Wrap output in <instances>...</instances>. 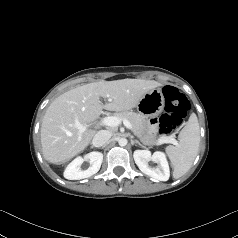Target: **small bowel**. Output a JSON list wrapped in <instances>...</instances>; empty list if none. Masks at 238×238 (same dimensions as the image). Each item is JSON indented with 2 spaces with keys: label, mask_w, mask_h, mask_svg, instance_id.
Wrapping results in <instances>:
<instances>
[{
  "label": "small bowel",
  "mask_w": 238,
  "mask_h": 238,
  "mask_svg": "<svg viewBox=\"0 0 238 238\" xmlns=\"http://www.w3.org/2000/svg\"><path fill=\"white\" fill-rule=\"evenodd\" d=\"M160 120H161L160 115L157 114V113H154V114H152V115L149 117V119H148V124H149V126L152 127V129L154 130L155 127L158 126Z\"/></svg>",
  "instance_id": "obj_1"
}]
</instances>
